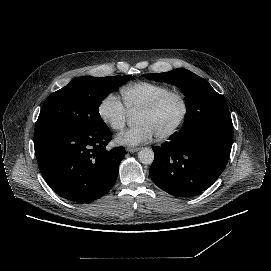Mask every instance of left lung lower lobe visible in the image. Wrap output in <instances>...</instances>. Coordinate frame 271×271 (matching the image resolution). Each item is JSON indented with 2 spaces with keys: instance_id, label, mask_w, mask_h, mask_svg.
Wrapping results in <instances>:
<instances>
[{
  "instance_id": "1",
  "label": "left lung lower lobe",
  "mask_w": 271,
  "mask_h": 271,
  "mask_svg": "<svg viewBox=\"0 0 271 271\" xmlns=\"http://www.w3.org/2000/svg\"><path fill=\"white\" fill-rule=\"evenodd\" d=\"M232 141L230 123L208 122L180 131L170 142L152 148L155 158L149 175L159 188L171 195H197L223 172Z\"/></svg>"
}]
</instances>
